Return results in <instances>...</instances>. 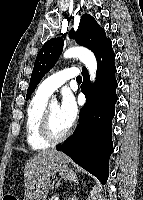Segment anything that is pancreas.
<instances>
[{"instance_id": "pancreas-1", "label": "pancreas", "mask_w": 143, "mask_h": 200, "mask_svg": "<svg viewBox=\"0 0 143 200\" xmlns=\"http://www.w3.org/2000/svg\"><path fill=\"white\" fill-rule=\"evenodd\" d=\"M50 200H56V198H51Z\"/></svg>"}]
</instances>
